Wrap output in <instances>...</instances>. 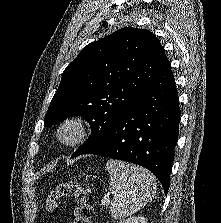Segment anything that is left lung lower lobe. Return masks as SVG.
<instances>
[{"label":"left lung lower lobe","instance_id":"obj_1","mask_svg":"<svg viewBox=\"0 0 221 223\" xmlns=\"http://www.w3.org/2000/svg\"><path fill=\"white\" fill-rule=\"evenodd\" d=\"M180 115L176 84L167 59L154 81L123 112L108 134L81 154L143 166L155 174L167 194Z\"/></svg>","mask_w":221,"mask_h":223}]
</instances>
